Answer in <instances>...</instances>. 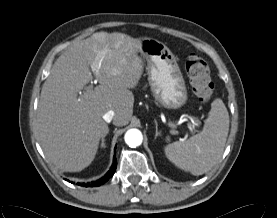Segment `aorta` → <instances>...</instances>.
<instances>
[{
  "mask_svg": "<svg viewBox=\"0 0 277 218\" xmlns=\"http://www.w3.org/2000/svg\"><path fill=\"white\" fill-rule=\"evenodd\" d=\"M124 139L129 147L135 148L142 144L143 136L140 130L133 128L126 132Z\"/></svg>",
  "mask_w": 277,
  "mask_h": 218,
  "instance_id": "aorta-1",
  "label": "aorta"
}]
</instances>
